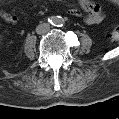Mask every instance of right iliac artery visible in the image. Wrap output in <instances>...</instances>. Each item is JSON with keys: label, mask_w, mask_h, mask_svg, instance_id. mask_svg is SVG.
Returning a JSON list of instances; mask_svg holds the SVG:
<instances>
[{"label": "right iliac artery", "mask_w": 119, "mask_h": 119, "mask_svg": "<svg viewBox=\"0 0 119 119\" xmlns=\"http://www.w3.org/2000/svg\"><path fill=\"white\" fill-rule=\"evenodd\" d=\"M48 21H50L51 23H52V19L50 20V19H48Z\"/></svg>", "instance_id": "1"}]
</instances>
